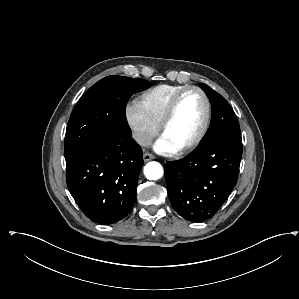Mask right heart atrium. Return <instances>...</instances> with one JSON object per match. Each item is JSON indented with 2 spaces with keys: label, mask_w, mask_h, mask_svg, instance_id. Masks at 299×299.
Wrapping results in <instances>:
<instances>
[{
  "label": "right heart atrium",
  "mask_w": 299,
  "mask_h": 299,
  "mask_svg": "<svg viewBox=\"0 0 299 299\" xmlns=\"http://www.w3.org/2000/svg\"><path fill=\"white\" fill-rule=\"evenodd\" d=\"M126 120L133 139L140 146L148 145L158 133V125L147 117L138 103H130L127 106Z\"/></svg>",
  "instance_id": "right-heart-atrium-1"
}]
</instances>
